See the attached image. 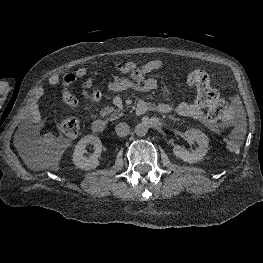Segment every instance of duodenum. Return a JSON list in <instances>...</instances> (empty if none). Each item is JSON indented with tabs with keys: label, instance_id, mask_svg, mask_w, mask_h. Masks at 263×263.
I'll return each mask as SVG.
<instances>
[{
	"label": "duodenum",
	"instance_id": "duodenum-1",
	"mask_svg": "<svg viewBox=\"0 0 263 263\" xmlns=\"http://www.w3.org/2000/svg\"><path fill=\"white\" fill-rule=\"evenodd\" d=\"M149 109V106L144 102H139L136 106V115H142ZM92 131L96 134H102L106 130V123L102 119H95L91 125Z\"/></svg>",
	"mask_w": 263,
	"mask_h": 263
}]
</instances>
